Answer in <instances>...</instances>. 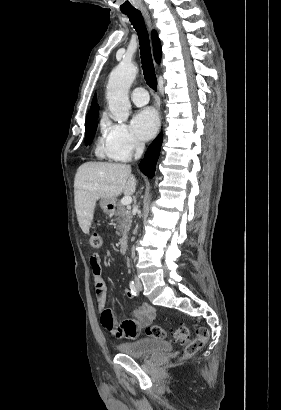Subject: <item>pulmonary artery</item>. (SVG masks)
Listing matches in <instances>:
<instances>
[{"instance_id": "1", "label": "pulmonary artery", "mask_w": 281, "mask_h": 410, "mask_svg": "<svg viewBox=\"0 0 281 410\" xmlns=\"http://www.w3.org/2000/svg\"><path fill=\"white\" fill-rule=\"evenodd\" d=\"M131 99L137 106H144L149 102V95L142 87H137L131 92Z\"/></svg>"}]
</instances>
